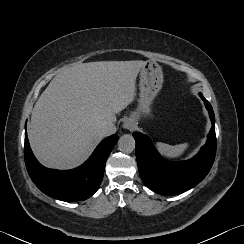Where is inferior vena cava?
Here are the masks:
<instances>
[{
    "label": "inferior vena cava",
    "mask_w": 244,
    "mask_h": 244,
    "mask_svg": "<svg viewBox=\"0 0 244 244\" xmlns=\"http://www.w3.org/2000/svg\"><path fill=\"white\" fill-rule=\"evenodd\" d=\"M100 132L104 137L109 136L116 132V127L111 121L105 122L101 125Z\"/></svg>",
    "instance_id": "602c4592"
}]
</instances>
